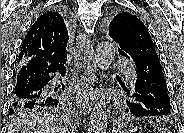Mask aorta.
Here are the masks:
<instances>
[{"label": "aorta", "mask_w": 184, "mask_h": 133, "mask_svg": "<svg viewBox=\"0 0 184 133\" xmlns=\"http://www.w3.org/2000/svg\"><path fill=\"white\" fill-rule=\"evenodd\" d=\"M116 48L109 42H101L96 47L95 61L98 68L105 72L109 70L115 59ZM107 130V111L104 100H99L93 107L88 133H106Z\"/></svg>", "instance_id": "aorta-1"}]
</instances>
